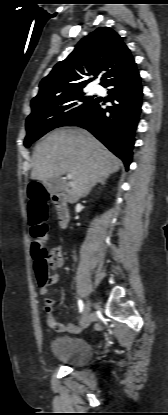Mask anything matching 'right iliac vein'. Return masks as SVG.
<instances>
[{
    "mask_svg": "<svg viewBox=\"0 0 168 415\" xmlns=\"http://www.w3.org/2000/svg\"><path fill=\"white\" fill-rule=\"evenodd\" d=\"M91 301L88 299L85 303L83 313L80 319V326H84L90 317Z\"/></svg>",
    "mask_w": 168,
    "mask_h": 415,
    "instance_id": "63e3f726",
    "label": "right iliac vein"
}]
</instances>
